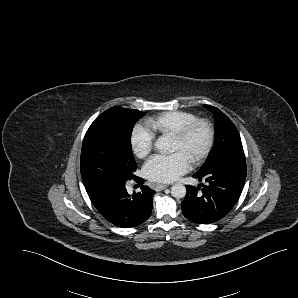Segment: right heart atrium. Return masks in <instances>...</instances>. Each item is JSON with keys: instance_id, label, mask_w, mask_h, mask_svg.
Listing matches in <instances>:
<instances>
[{"instance_id": "obj_1", "label": "right heart atrium", "mask_w": 298, "mask_h": 298, "mask_svg": "<svg viewBox=\"0 0 298 298\" xmlns=\"http://www.w3.org/2000/svg\"><path fill=\"white\" fill-rule=\"evenodd\" d=\"M131 143L135 154L143 158L153 149L155 138L153 133L146 127L136 124L132 130Z\"/></svg>"}]
</instances>
